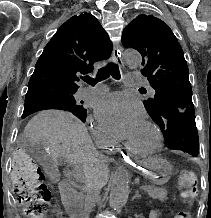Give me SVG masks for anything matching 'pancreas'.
I'll use <instances>...</instances> for the list:
<instances>
[{"label":"pancreas","instance_id":"cf45deb5","mask_svg":"<svg viewBox=\"0 0 211 218\" xmlns=\"http://www.w3.org/2000/svg\"><path fill=\"white\" fill-rule=\"evenodd\" d=\"M146 188V192H148L150 198H154V200H160V202H164V200H167V190H162V188H154V186H144ZM72 199H70L69 204L70 205H81L82 201L81 196L77 195L78 191H73Z\"/></svg>","mask_w":211,"mask_h":218}]
</instances>
